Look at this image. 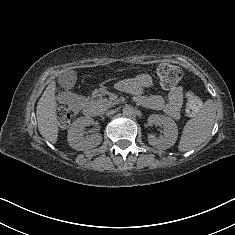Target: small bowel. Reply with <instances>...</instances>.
<instances>
[{"label":"small bowel","mask_w":235,"mask_h":235,"mask_svg":"<svg viewBox=\"0 0 235 235\" xmlns=\"http://www.w3.org/2000/svg\"><path fill=\"white\" fill-rule=\"evenodd\" d=\"M150 83V78L147 75H140L135 79L133 86L142 89L150 85ZM124 86L127 85L125 84ZM183 96V88L181 86H174L171 88L166 100H163L157 95L138 94L136 96V101L141 105L151 109L164 110V112L172 118H178Z\"/></svg>","instance_id":"c3829d8e"}]
</instances>
